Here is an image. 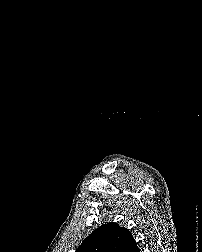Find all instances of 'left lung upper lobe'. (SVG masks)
<instances>
[{"instance_id":"left-lung-upper-lobe-1","label":"left lung upper lobe","mask_w":202,"mask_h":252,"mask_svg":"<svg viewBox=\"0 0 202 252\" xmlns=\"http://www.w3.org/2000/svg\"><path fill=\"white\" fill-rule=\"evenodd\" d=\"M138 246L131 232L117 223L103 224L93 231L76 252H137Z\"/></svg>"}]
</instances>
